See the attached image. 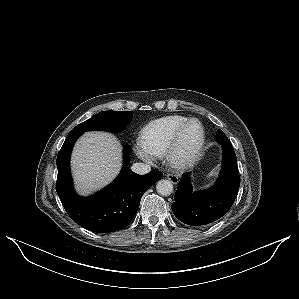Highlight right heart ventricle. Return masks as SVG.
Returning <instances> with one entry per match:
<instances>
[{"mask_svg": "<svg viewBox=\"0 0 299 299\" xmlns=\"http://www.w3.org/2000/svg\"><path fill=\"white\" fill-rule=\"evenodd\" d=\"M187 120L185 116L171 115L150 122L143 131V144L154 157H163Z\"/></svg>", "mask_w": 299, "mask_h": 299, "instance_id": "1", "label": "right heart ventricle"}]
</instances>
